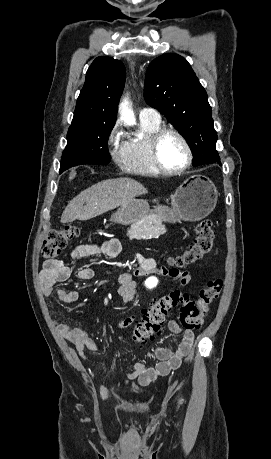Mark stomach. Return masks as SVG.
I'll use <instances>...</instances> for the list:
<instances>
[{"label": "stomach", "mask_w": 271, "mask_h": 459, "mask_svg": "<svg viewBox=\"0 0 271 459\" xmlns=\"http://www.w3.org/2000/svg\"><path fill=\"white\" fill-rule=\"evenodd\" d=\"M217 200L216 186L209 178L191 176L177 188L171 198V208L157 206V210H153V212L158 214L160 220L171 222V224L180 222V220L197 222V220L207 218L213 212ZM151 212L152 210L145 200H130V202L120 206L118 212L113 216V220L128 226V224H135V222L143 220Z\"/></svg>", "instance_id": "1"}]
</instances>
